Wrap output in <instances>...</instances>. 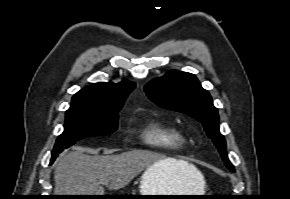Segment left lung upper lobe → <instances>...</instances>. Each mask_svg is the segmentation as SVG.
Segmentation results:
<instances>
[{"label":"left lung upper lobe","mask_w":290,"mask_h":199,"mask_svg":"<svg viewBox=\"0 0 290 199\" xmlns=\"http://www.w3.org/2000/svg\"><path fill=\"white\" fill-rule=\"evenodd\" d=\"M144 89L149 99L158 106L185 113L200 121L208 137L218 148L227 168L232 172L235 171L226 153V142L219 131L217 108L195 75L169 71L164 76L147 83Z\"/></svg>","instance_id":"1"}]
</instances>
